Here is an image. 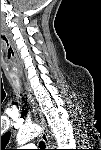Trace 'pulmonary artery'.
<instances>
[{
    "label": "pulmonary artery",
    "mask_w": 101,
    "mask_h": 150,
    "mask_svg": "<svg viewBox=\"0 0 101 150\" xmlns=\"http://www.w3.org/2000/svg\"><path fill=\"white\" fill-rule=\"evenodd\" d=\"M25 148H29V149H32V148H35V145L34 144H27L24 146Z\"/></svg>",
    "instance_id": "e3ab8cb5"
}]
</instances>
